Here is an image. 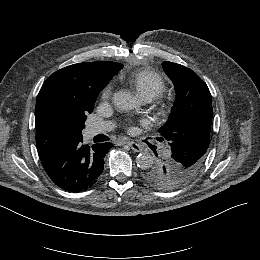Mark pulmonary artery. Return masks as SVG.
<instances>
[{
	"label": "pulmonary artery",
	"instance_id": "1",
	"mask_svg": "<svg viewBox=\"0 0 260 260\" xmlns=\"http://www.w3.org/2000/svg\"><path fill=\"white\" fill-rule=\"evenodd\" d=\"M144 102H149L150 100H143ZM112 124L105 121L89 122L86 125V136L87 138H92L96 135L103 134L112 129Z\"/></svg>",
	"mask_w": 260,
	"mask_h": 260
}]
</instances>
